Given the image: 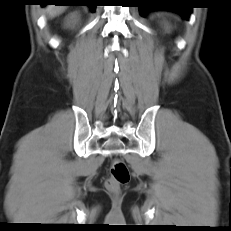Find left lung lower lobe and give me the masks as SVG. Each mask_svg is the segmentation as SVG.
Instances as JSON below:
<instances>
[{"label": "left lung lower lobe", "instance_id": "0a47b994", "mask_svg": "<svg viewBox=\"0 0 231 231\" xmlns=\"http://www.w3.org/2000/svg\"><path fill=\"white\" fill-rule=\"evenodd\" d=\"M137 4L140 8L141 16H145L148 12L155 10H169L188 19L192 8L186 5L185 0H137Z\"/></svg>", "mask_w": 231, "mask_h": 231}]
</instances>
